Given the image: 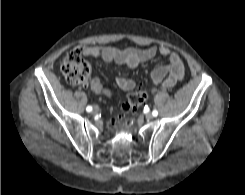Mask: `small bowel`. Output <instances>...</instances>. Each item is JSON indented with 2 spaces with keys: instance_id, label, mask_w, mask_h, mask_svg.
Listing matches in <instances>:
<instances>
[{
  "instance_id": "1",
  "label": "small bowel",
  "mask_w": 245,
  "mask_h": 195,
  "mask_svg": "<svg viewBox=\"0 0 245 195\" xmlns=\"http://www.w3.org/2000/svg\"><path fill=\"white\" fill-rule=\"evenodd\" d=\"M83 53L86 56L101 58L108 63L126 65L129 68H135L140 63L153 59L159 53L163 58L168 59V64L158 66L152 71L151 81L153 83V91H156L158 86L164 88L173 87L184 78L185 74L182 59L168 47L152 46L146 49H119L112 46H89L83 48ZM116 84L120 89L127 92L135 88V82L125 77H117ZM89 88L94 93L111 96L110 90L103 86L99 77L91 79Z\"/></svg>"
}]
</instances>
